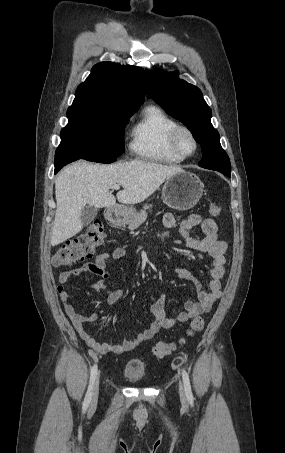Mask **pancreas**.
<instances>
[{"label": "pancreas", "mask_w": 285, "mask_h": 453, "mask_svg": "<svg viewBox=\"0 0 285 453\" xmlns=\"http://www.w3.org/2000/svg\"><path fill=\"white\" fill-rule=\"evenodd\" d=\"M152 205H145L139 213L132 212L128 220V228L134 230L138 228L147 218L146 210H150Z\"/></svg>", "instance_id": "cf45deb5"}]
</instances>
